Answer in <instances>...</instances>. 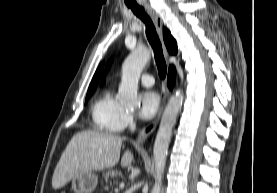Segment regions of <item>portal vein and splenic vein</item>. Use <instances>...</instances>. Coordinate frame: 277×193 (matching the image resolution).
<instances>
[{"instance_id":"1","label":"portal vein and splenic vein","mask_w":277,"mask_h":193,"mask_svg":"<svg viewBox=\"0 0 277 193\" xmlns=\"http://www.w3.org/2000/svg\"><path fill=\"white\" fill-rule=\"evenodd\" d=\"M125 184L123 182L120 183V188H124Z\"/></svg>"}]
</instances>
